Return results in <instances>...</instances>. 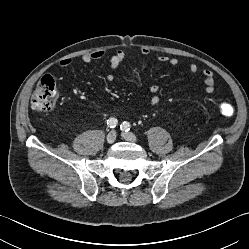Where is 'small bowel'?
<instances>
[{"label": "small bowel", "instance_id": "small-bowel-1", "mask_svg": "<svg viewBox=\"0 0 249 249\" xmlns=\"http://www.w3.org/2000/svg\"><path fill=\"white\" fill-rule=\"evenodd\" d=\"M106 55V53L102 50H98V51H94L92 53H88L83 55L82 57V61L84 63H90L92 61H96V60H100L102 58H104ZM140 55L142 57H147L149 55V51L147 49H142L140 51ZM127 58V53L123 50H116L114 51L109 58V67L110 70L116 71L121 65L122 63L125 61V59ZM157 60L161 63L164 64H169L171 66H177L179 64V59L176 57H169L166 55H159L157 57ZM73 63V60L70 58H65L62 59L59 62V65L61 67H68ZM188 70L191 74L195 75L198 72V66L195 63H189L188 64ZM202 75V79L204 82V90L206 93L211 94L214 92L215 90V77H214V73L209 70V69H204L201 73ZM107 80L108 81H113L114 80V75L112 73L107 75ZM150 91V100H149V104L154 107L157 106L160 103V89L159 86L157 84H152L149 88Z\"/></svg>", "mask_w": 249, "mask_h": 249}]
</instances>
